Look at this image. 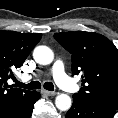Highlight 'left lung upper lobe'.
<instances>
[{
  "instance_id": "left-lung-upper-lobe-1",
  "label": "left lung upper lobe",
  "mask_w": 118,
  "mask_h": 118,
  "mask_svg": "<svg viewBox=\"0 0 118 118\" xmlns=\"http://www.w3.org/2000/svg\"><path fill=\"white\" fill-rule=\"evenodd\" d=\"M54 38L72 55V73L81 74L82 88L73 98L118 108V49L93 32L55 33Z\"/></svg>"
}]
</instances>
